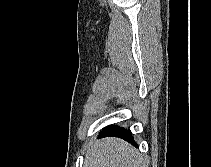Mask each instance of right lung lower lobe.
<instances>
[{"mask_svg": "<svg viewBox=\"0 0 211 167\" xmlns=\"http://www.w3.org/2000/svg\"><path fill=\"white\" fill-rule=\"evenodd\" d=\"M100 136H110V137H119L126 140L129 143H134V139L130 130L116 127V126H108L100 133ZM136 145V144H135Z\"/></svg>", "mask_w": 211, "mask_h": 167, "instance_id": "98d812e1", "label": "right lung lower lobe"}]
</instances>
